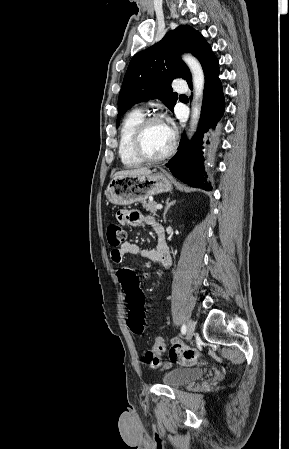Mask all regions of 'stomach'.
<instances>
[{
	"label": "stomach",
	"mask_w": 289,
	"mask_h": 449,
	"mask_svg": "<svg viewBox=\"0 0 289 449\" xmlns=\"http://www.w3.org/2000/svg\"><path fill=\"white\" fill-rule=\"evenodd\" d=\"M172 189L167 174L156 172L149 175L115 176L108 184L105 195L112 204L126 206Z\"/></svg>",
	"instance_id": "0dacf381"
}]
</instances>
